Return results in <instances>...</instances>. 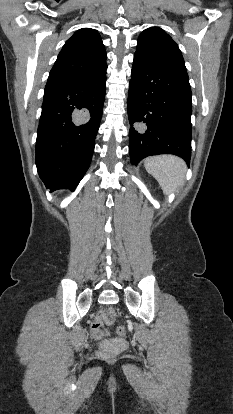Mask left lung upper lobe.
<instances>
[{"mask_svg":"<svg viewBox=\"0 0 233 414\" xmlns=\"http://www.w3.org/2000/svg\"><path fill=\"white\" fill-rule=\"evenodd\" d=\"M135 55L165 67L186 71L178 45L159 27L148 28L140 34Z\"/></svg>","mask_w":233,"mask_h":414,"instance_id":"5c2ea615","label":"left lung upper lobe"}]
</instances>
